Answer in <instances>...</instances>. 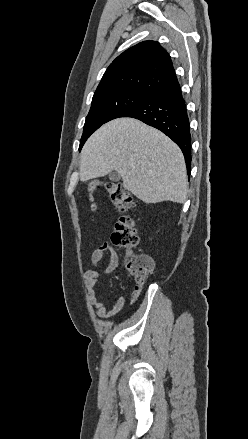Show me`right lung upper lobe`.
<instances>
[{
    "label": "right lung upper lobe",
    "instance_id": "obj_1",
    "mask_svg": "<svg viewBox=\"0 0 248 439\" xmlns=\"http://www.w3.org/2000/svg\"><path fill=\"white\" fill-rule=\"evenodd\" d=\"M177 80L171 58L156 41H143L107 68L93 98L120 91L151 95Z\"/></svg>",
    "mask_w": 248,
    "mask_h": 439
}]
</instances>
